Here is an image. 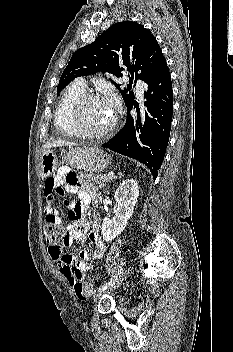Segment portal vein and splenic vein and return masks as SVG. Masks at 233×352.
Returning a JSON list of instances; mask_svg holds the SVG:
<instances>
[{"instance_id": "portal-vein-and-splenic-vein-1", "label": "portal vein and splenic vein", "mask_w": 233, "mask_h": 352, "mask_svg": "<svg viewBox=\"0 0 233 352\" xmlns=\"http://www.w3.org/2000/svg\"><path fill=\"white\" fill-rule=\"evenodd\" d=\"M108 176H110L111 178H113V177H114V173L110 172V173H108Z\"/></svg>"}]
</instances>
